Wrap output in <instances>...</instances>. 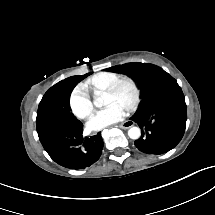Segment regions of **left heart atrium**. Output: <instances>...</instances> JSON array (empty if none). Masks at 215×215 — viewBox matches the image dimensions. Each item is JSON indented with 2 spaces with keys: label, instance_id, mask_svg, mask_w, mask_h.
Returning <instances> with one entry per match:
<instances>
[{
  "label": "left heart atrium",
  "instance_id": "39dd6f15",
  "mask_svg": "<svg viewBox=\"0 0 215 215\" xmlns=\"http://www.w3.org/2000/svg\"><path fill=\"white\" fill-rule=\"evenodd\" d=\"M122 116L123 109L121 107H115L101 113L100 116L93 118L91 125L93 129L100 131L104 129V127L120 122Z\"/></svg>",
  "mask_w": 215,
  "mask_h": 215
}]
</instances>
